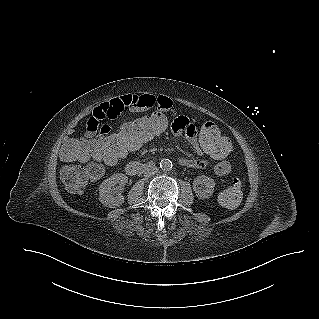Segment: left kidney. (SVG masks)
<instances>
[{
	"mask_svg": "<svg viewBox=\"0 0 319 319\" xmlns=\"http://www.w3.org/2000/svg\"><path fill=\"white\" fill-rule=\"evenodd\" d=\"M202 185L204 188H196V196L200 199H207L212 196L215 187V181L205 175L197 176L194 179V186Z\"/></svg>",
	"mask_w": 319,
	"mask_h": 319,
	"instance_id": "1",
	"label": "left kidney"
}]
</instances>
